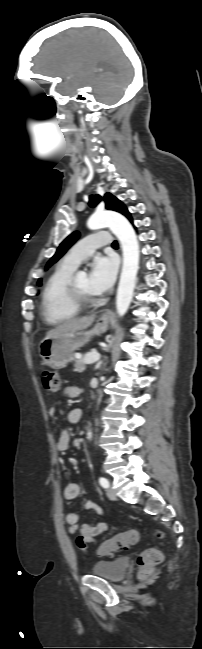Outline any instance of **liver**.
<instances>
[{
	"label": "liver",
	"instance_id": "liver-1",
	"mask_svg": "<svg viewBox=\"0 0 202 649\" xmlns=\"http://www.w3.org/2000/svg\"><path fill=\"white\" fill-rule=\"evenodd\" d=\"M95 320V316L91 315L88 317H82L77 319H71L63 322L62 324L56 326L54 329L46 333L45 338H54L63 333L80 331L88 328L92 325Z\"/></svg>",
	"mask_w": 202,
	"mask_h": 649
}]
</instances>
